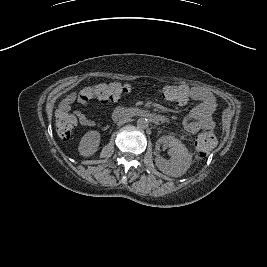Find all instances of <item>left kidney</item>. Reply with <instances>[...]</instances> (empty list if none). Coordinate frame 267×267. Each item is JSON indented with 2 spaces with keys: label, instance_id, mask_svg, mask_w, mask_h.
I'll use <instances>...</instances> for the list:
<instances>
[{
  "label": "left kidney",
  "instance_id": "5707ae66",
  "mask_svg": "<svg viewBox=\"0 0 267 267\" xmlns=\"http://www.w3.org/2000/svg\"><path fill=\"white\" fill-rule=\"evenodd\" d=\"M163 145L169 148L170 159L157 156L155 165L164 174L171 177H181L184 175L192 163V157L184 144L173 136H162L156 142V148Z\"/></svg>",
  "mask_w": 267,
  "mask_h": 267
}]
</instances>
